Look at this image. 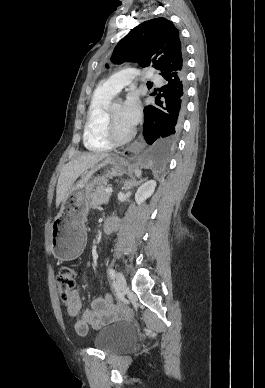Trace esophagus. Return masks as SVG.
<instances>
[{
  "mask_svg": "<svg viewBox=\"0 0 265 388\" xmlns=\"http://www.w3.org/2000/svg\"><path fill=\"white\" fill-rule=\"evenodd\" d=\"M144 147V139L140 136L135 142L129 147L125 148L122 152L123 157L133 158L139 151Z\"/></svg>",
  "mask_w": 265,
  "mask_h": 388,
  "instance_id": "1",
  "label": "esophagus"
}]
</instances>
